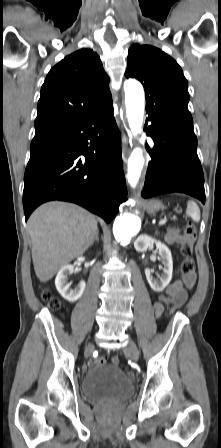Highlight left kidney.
Wrapping results in <instances>:
<instances>
[{
  "label": "left kidney",
  "instance_id": "left-kidney-1",
  "mask_svg": "<svg viewBox=\"0 0 221 448\" xmlns=\"http://www.w3.org/2000/svg\"><path fill=\"white\" fill-rule=\"evenodd\" d=\"M154 243L157 249L159 250V254L162 259V264L164 266L163 274L161 275L160 280H157L153 277L150 269L147 268L145 269V275L150 287L155 292H162L172 279L173 260L171 251L165 244L145 234L140 235L136 239L134 247L138 252H143L147 250V248L153 245Z\"/></svg>",
  "mask_w": 221,
  "mask_h": 448
}]
</instances>
